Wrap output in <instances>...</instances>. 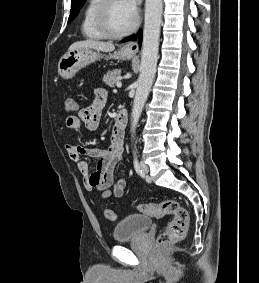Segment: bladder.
Here are the masks:
<instances>
[{
	"label": "bladder",
	"mask_w": 259,
	"mask_h": 283,
	"mask_svg": "<svg viewBox=\"0 0 259 283\" xmlns=\"http://www.w3.org/2000/svg\"><path fill=\"white\" fill-rule=\"evenodd\" d=\"M152 219L142 214H132L124 218L113 229V239L116 242L129 240L146 232L152 226Z\"/></svg>",
	"instance_id": "bladder-1"
}]
</instances>
